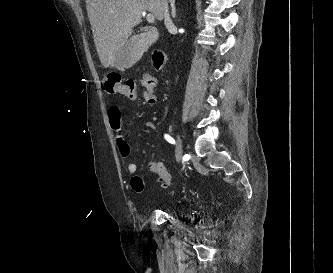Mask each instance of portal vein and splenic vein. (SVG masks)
Returning a JSON list of instances; mask_svg holds the SVG:
<instances>
[{
    "label": "portal vein and splenic vein",
    "mask_w": 333,
    "mask_h": 273,
    "mask_svg": "<svg viewBox=\"0 0 333 273\" xmlns=\"http://www.w3.org/2000/svg\"><path fill=\"white\" fill-rule=\"evenodd\" d=\"M146 20L148 23H154L155 22V17L153 14H147L146 15Z\"/></svg>",
    "instance_id": "obj_1"
}]
</instances>
